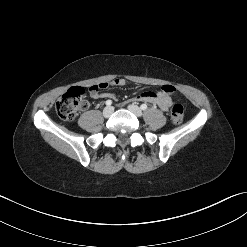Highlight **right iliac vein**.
<instances>
[{
	"label": "right iliac vein",
	"mask_w": 247,
	"mask_h": 247,
	"mask_svg": "<svg viewBox=\"0 0 247 247\" xmlns=\"http://www.w3.org/2000/svg\"><path fill=\"white\" fill-rule=\"evenodd\" d=\"M112 113H113V108L110 107V106L105 107L104 110H103V116H104L105 118L110 117V116L112 115Z\"/></svg>",
	"instance_id": "63e3f726"
}]
</instances>
